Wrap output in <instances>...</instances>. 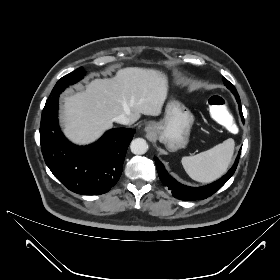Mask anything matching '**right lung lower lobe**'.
Returning a JSON list of instances; mask_svg holds the SVG:
<instances>
[{"label": "right lung lower lobe", "mask_w": 280, "mask_h": 280, "mask_svg": "<svg viewBox=\"0 0 280 280\" xmlns=\"http://www.w3.org/2000/svg\"><path fill=\"white\" fill-rule=\"evenodd\" d=\"M58 97L46 101L40 124V142L45 163L69 190L82 195H100L118 182L132 129H112L96 143L80 147L69 142L58 126Z\"/></svg>", "instance_id": "obj_1"}]
</instances>
